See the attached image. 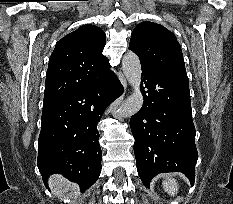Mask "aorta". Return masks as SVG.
Returning a JSON list of instances; mask_svg holds the SVG:
<instances>
[{
	"label": "aorta",
	"instance_id": "762f6f07",
	"mask_svg": "<svg viewBox=\"0 0 233 204\" xmlns=\"http://www.w3.org/2000/svg\"><path fill=\"white\" fill-rule=\"evenodd\" d=\"M122 70L132 86V94L121 104L116 112V117L126 118L136 114L143 105V96L140 90L141 63L138 56L133 52H127L122 59Z\"/></svg>",
	"mask_w": 233,
	"mask_h": 204
}]
</instances>
